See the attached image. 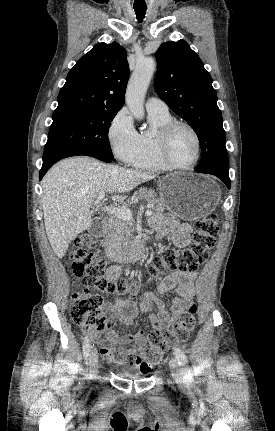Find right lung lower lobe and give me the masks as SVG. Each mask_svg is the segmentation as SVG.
Here are the masks:
<instances>
[{
    "mask_svg": "<svg viewBox=\"0 0 275 431\" xmlns=\"http://www.w3.org/2000/svg\"><path fill=\"white\" fill-rule=\"evenodd\" d=\"M78 155L91 156L108 163L113 160L99 151L84 147H66L53 150H45L43 154V165L40 170V180L43 178L49 168L60 159Z\"/></svg>",
    "mask_w": 275,
    "mask_h": 431,
    "instance_id": "right-lung-lower-lobe-1",
    "label": "right lung lower lobe"
}]
</instances>
